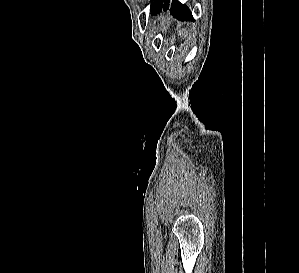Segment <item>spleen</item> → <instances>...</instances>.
<instances>
[{
	"instance_id": "1",
	"label": "spleen",
	"mask_w": 299,
	"mask_h": 273,
	"mask_svg": "<svg viewBox=\"0 0 299 273\" xmlns=\"http://www.w3.org/2000/svg\"><path fill=\"white\" fill-rule=\"evenodd\" d=\"M178 34L181 36V37H186L187 36V30L186 29H180Z\"/></svg>"
}]
</instances>
